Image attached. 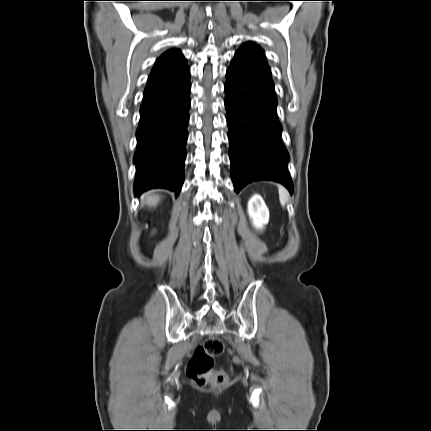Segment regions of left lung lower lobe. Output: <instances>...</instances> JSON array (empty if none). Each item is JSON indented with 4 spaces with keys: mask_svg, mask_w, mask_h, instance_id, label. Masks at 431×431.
Masks as SVG:
<instances>
[{
    "mask_svg": "<svg viewBox=\"0 0 431 431\" xmlns=\"http://www.w3.org/2000/svg\"><path fill=\"white\" fill-rule=\"evenodd\" d=\"M226 76L225 107L235 191L253 181L272 180L292 194L288 152L282 142L271 76L236 65L227 69Z\"/></svg>",
    "mask_w": 431,
    "mask_h": 431,
    "instance_id": "1",
    "label": "left lung lower lobe"
}]
</instances>
